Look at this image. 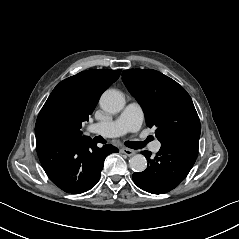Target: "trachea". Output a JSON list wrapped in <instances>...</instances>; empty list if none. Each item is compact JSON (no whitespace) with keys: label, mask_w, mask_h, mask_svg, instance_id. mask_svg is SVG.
I'll use <instances>...</instances> for the list:
<instances>
[{"label":"trachea","mask_w":239,"mask_h":239,"mask_svg":"<svg viewBox=\"0 0 239 239\" xmlns=\"http://www.w3.org/2000/svg\"><path fill=\"white\" fill-rule=\"evenodd\" d=\"M95 142L105 144L106 140L102 136H96L94 138ZM148 141H126L125 145L129 148L140 149L143 148Z\"/></svg>","instance_id":"trachea-1"}]
</instances>
